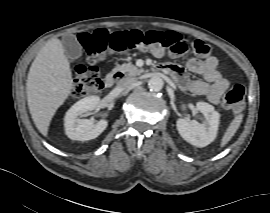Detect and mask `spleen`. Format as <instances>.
Segmentation results:
<instances>
[{
    "label": "spleen",
    "instance_id": "spleen-1",
    "mask_svg": "<svg viewBox=\"0 0 270 213\" xmlns=\"http://www.w3.org/2000/svg\"><path fill=\"white\" fill-rule=\"evenodd\" d=\"M243 119V115H237L229 124L226 132L224 133V136L222 138L221 141V147L225 146L230 140L231 138L234 136V134L236 133V131L238 130L241 122Z\"/></svg>",
    "mask_w": 270,
    "mask_h": 213
}]
</instances>
